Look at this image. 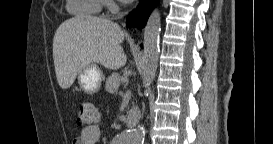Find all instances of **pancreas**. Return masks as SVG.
<instances>
[{
	"label": "pancreas",
	"instance_id": "cf45deb5",
	"mask_svg": "<svg viewBox=\"0 0 273 144\" xmlns=\"http://www.w3.org/2000/svg\"><path fill=\"white\" fill-rule=\"evenodd\" d=\"M124 77L120 76L118 73H112L106 80L105 89L109 93H115L118 91L120 82L124 81Z\"/></svg>",
	"mask_w": 273,
	"mask_h": 144
}]
</instances>
